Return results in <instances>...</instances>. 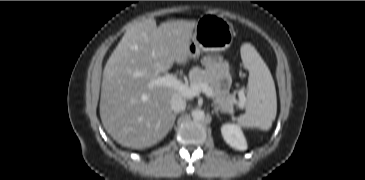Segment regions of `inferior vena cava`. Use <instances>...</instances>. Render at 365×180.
Masks as SVG:
<instances>
[{
	"mask_svg": "<svg viewBox=\"0 0 365 180\" xmlns=\"http://www.w3.org/2000/svg\"><path fill=\"white\" fill-rule=\"evenodd\" d=\"M170 104L174 113L184 111L186 108V100L181 95H174L170 100Z\"/></svg>",
	"mask_w": 365,
	"mask_h": 180,
	"instance_id": "obj_1",
	"label": "inferior vena cava"
}]
</instances>
